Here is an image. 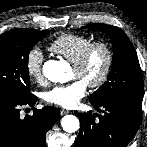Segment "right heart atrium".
Returning <instances> with one entry per match:
<instances>
[{
  "label": "right heart atrium",
  "mask_w": 147,
  "mask_h": 147,
  "mask_svg": "<svg viewBox=\"0 0 147 147\" xmlns=\"http://www.w3.org/2000/svg\"><path fill=\"white\" fill-rule=\"evenodd\" d=\"M42 66V52L37 48L31 49L26 55L25 69L30 79H32L36 83H42L44 81Z\"/></svg>",
  "instance_id": "1"
}]
</instances>
